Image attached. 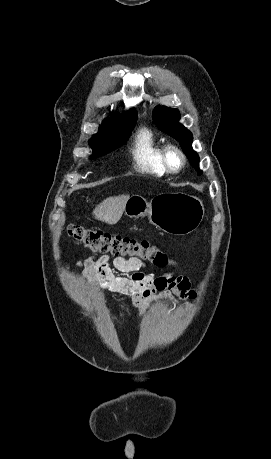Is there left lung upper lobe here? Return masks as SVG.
Returning <instances> with one entry per match:
<instances>
[{
    "instance_id": "5c2ea615",
    "label": "left lung upper lobe",
    "mask_w": 271,
    "mask_h": 459,
    "mask_svg": "<svg viewBox=\"0 0 271 459\" xmlns=\"http://www.w3.org/2000/svg\"><path fill=\"white\" fill-rule=\"evenodd\" d=\"M152 117L159 129L180 142L183 152L189 158L191 165L197 170L198 175H201L202 171L198 169V154L192 149V133L178 123L180 119L179 111L158 105L153 110Z\"/></svg>"
}]
</instances>
